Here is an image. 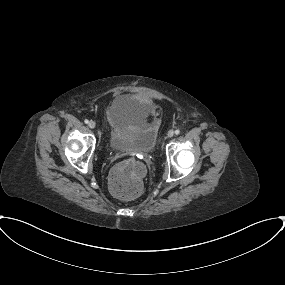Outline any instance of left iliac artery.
Returning a JSON list of instances; mask_svg holds the SVG:
<instances>
[{
	"mask_svg": "<svg viewBox=\"0 0 285 285\" xmlns=\"http://www.w3.org/2000/svg\"><path fill=\"white\" fill-rule=\"evenodd\" d=\"M175 134H180V130L179 129H177V130H175Z\"/></svg>",
	"mask_w": 285,
	"mask_h": 285,
	"instance_id": "44dca946",
	"label": "left iliac artery"
}]
</instances>
